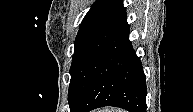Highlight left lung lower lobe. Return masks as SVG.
<instances>
[{"label": "left lung lower lobe", "mask_w": 193, "mask_h": 112, "mask_svg": "<svg viewBox=\"0 0 193 112\" xmlns=\"http://www.w3.org/2000/svg\"><path fill=\"white\" fill-rule=\"evenodd\" d=\"M129 29L124 10L82 50L70 73V112L103 106L146 112V77Z\"/></svg>", "instance_id": "1"}]
</instances>
